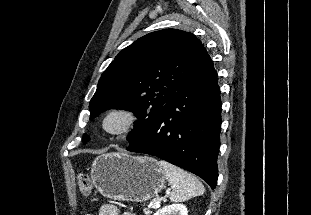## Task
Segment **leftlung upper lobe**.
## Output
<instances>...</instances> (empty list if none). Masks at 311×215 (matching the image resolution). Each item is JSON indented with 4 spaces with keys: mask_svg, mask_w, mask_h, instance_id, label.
I'll return each mask as SVG.
<instances>
[{
    "mask_svg": "<svg viewBox=\"0 0 311 215\" xmlns=\"http://www.w3.org/2000/svg\"><path fill=\"white\" fill-rule=\"evenodd\" d=\"M204 46L192 33L164 29L123 49L102 74L92 97L90 119L106 109H124L138 118L129 144L149 128L165 103L186 80ZM84 134L83 142L89 140Z\"/></svg>",
    "mask_w": 311,
    "mask_h": 215,
    "instance_id": "5c2ea615",
    "label": "left lung upper lobe"
}]
</instances>
